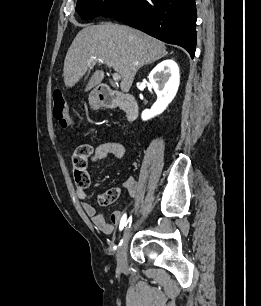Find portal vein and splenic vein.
I'll return each instance as SVG.
<instances>
[{"label": "portal vein and splenic vein", "mask_w": 261, "mask_h": 306, "mask_svg": "<svg viewBox=\"0 0 261 306\" xmlns=\"http://www.w3.org/2000/svg\"><path fill=\"white\" fill-rule=\"evenodd\" d=\"M102 63L103 64V61L100 60V59H97L96 57H92L88 63V66L89 67H92L95 63ZM112 78L114 81H119L121 76L118 74V73H113L112 74Z\"/></svg>", "instance_id": "obj_1"}]
</instances>
